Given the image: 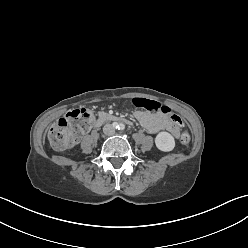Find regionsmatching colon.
Listing matches in <instances>:
<instances>
[{"mask_svg":"<svg viewBox=\"0 0 248 248\" xmlns=\"http://www.w3.org/2000/svg\"><path fill=\"white\" fill-rule=\"evenodd\" d=\"M132 102L137 108L169 114L175 123L182 124V120L178 115L170 114L169 108L158 101L138 97L134 98ZM93 119V112L87 108L74 109L57 119L48 132V139L51 146L56 150H65L69 148L81 138ZM189 141L190 135L187 131H184L181 134V142L183 144H188Z\"/></svg>","mask_w":248,"mask_h":248,"instance_id":"colon-1","label":"colon"}]
</instances>
